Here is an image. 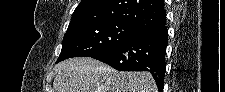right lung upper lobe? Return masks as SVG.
Instances as JSON below:
<instances>
[{"label":"right lung upper lobe","instance_id":"cb5924a9","mask_svg":"<svg viewBox=\"0 0 225 92\" xmlns=\"http://www.w3.org/2000/svg\"><path fill=\"white\" fill-rule=\"evenodd\" d=\"M120 22L141 31L166 23L163 0H82L68 28L87 23Z\"/></svg>","mask_w":225,"mask_h":92}]
</instances>
